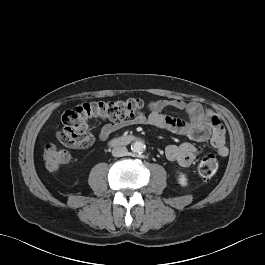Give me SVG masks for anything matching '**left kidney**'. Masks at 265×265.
Listing matches in <instances>:
<instances>
[{
	"label": "left kidney",
	"instance_id": "5707ae66",
	"mask_svg": "<svg viewBox=\"0 0 265 265\" xmlns=\"http://www.w3.org/2000/svg\"><path fill=\"white\" fill-rule=\"evenodd\" d=\"M178 182H179L180 185L186 186L187 185V177H186V175L183 174V173H180L179 177H178Z\"/></svg>",
	"mask_w": 265,
	"mask_h": 265
}]
</instances>
